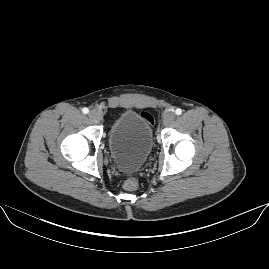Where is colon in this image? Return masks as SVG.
I'll return each mask as SVG.
<instances>
[{
    "label": "colon",
    "mask_w": 269,
    "mask_h": 269,
    "mask_svg": "<svg viewBox=\"0 0 269 269\" xmlns=\"http://www.w3.org/2000/svg\"><path fill=\"white\" fill-rule=\"evenodd\" d=\"M140 117L144 121L148 122L149 124L153 125L155 123V118L150 112L143 111V112H141ZM138 185H139V182H138V179L136 177L128 176L124 179L123 186L127 191L136 190L138 188Z\"/></svg>",
    "instance_id": "1"
}]
</instances>
